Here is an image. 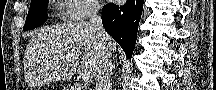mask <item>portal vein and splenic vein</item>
Returning a JSON list of instances; mask_svg holds the SVG:
<instances>
[{"mask_svg":"<svg viewBox=\"0 0 216 90\" xmlns=\"http://www.w3.org/2000/svg\"><path fill=\"white\" fill-rule=\"evenodd\" d=\"M82 78H83L84 82H88L90 76H87V74H82Z\"/></svg>","mask_w":216,"mask_h":90,"instance_id":"portal-vein-and-splenic-vein-1","label":"portal vein and splenic vein"}]
</instances>
